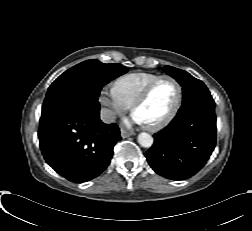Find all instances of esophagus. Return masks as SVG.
Segmentation results:
<instances>
[{"instance_id": "esophagus-1", "label": "esophagus", "mask_w": 252, "mask_h": 231, "mask_svg": "<svg viewBox=\"0 0 252 231\" xmlns=\"http://www.w3.org/2000/svg\"><path fill=\"white\" fill-rule=\"evenodd\" d=\"M132 135H134V132H132V131H127V130H124V129L121 130V137L122 138H127V137L132 136Z\"/></svg>"}]
</instances>
